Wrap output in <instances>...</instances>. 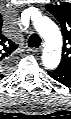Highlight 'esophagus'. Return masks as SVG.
Instances as JSON below:
<instances>
[{"mask_svg": "<svg viewBox=\"0 0 71 119\" xmlns=\"http://www.w3.org/2000/svg\"><path fill=\"white\" fill-rule=\"evenodd\" d=\"M43 47H44V45H42L40 48H32L31 52L34 54H39V53H41Z\"/></svg>", "mask_w": 71, "mask_h": 119, "instance_id": "34e87169", "label": "esophagus"}]
</instances>
